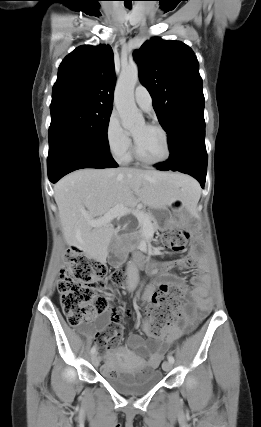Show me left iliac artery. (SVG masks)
Returning a JSON list of instances; mask_svg holds the SVG:
<instances>
[{"label": "left iliac artery", "instance_id": "left-iliac-artery-1", "mask_svg": "<svg viewBox=\"0 0 261 427\" xmlns=\"http://www.w3.org/2000/svg\"><path fill=\"white\" fill-rule=\"evenodd\" d=\"M168 361L174 363V357L172 355L168 356Z\"/></svg>", "mask_w": 261, "mask_h": 427}]
</instances>
